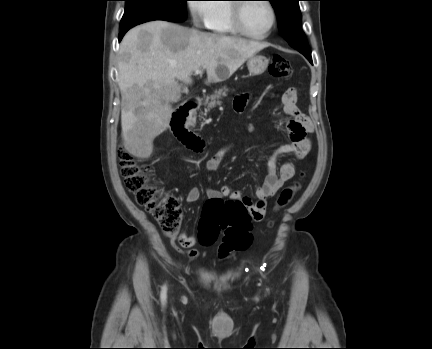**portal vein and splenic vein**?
<instances>
[{"label": "portal vein and splenic vein", "instance_id": "obj_1", "mask_svg": "<svg viewBox=\"0 0 432 349\" xmlns=\"http://www.w3.org/2000/svg\"><path fill=\"white\" fill-rule=\"evenodd\" d=\"M201 73H202L201 69H197V70H195V74H196V75H199V74H201Z\"/></svg>", "mask_w": 432, "mask_h": 349}]
</instances>
